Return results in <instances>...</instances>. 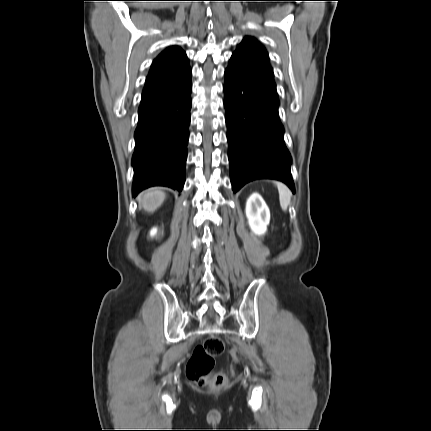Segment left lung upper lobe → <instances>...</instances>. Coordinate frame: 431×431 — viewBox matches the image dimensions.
<instances>
[{
	"instance_id": "5c2ea615",
	"label": "left lung upper lobe",
	"mask_w": 431,
	"mask_h": 431,
	"mask_svg": "<svg viewBox=\"0 0 431 431\" xmlns=\"http://www.w3.org/2000/svg\"><path fill=\"white\" fill-rule=\"evenodd\" d=\"M229 65L273 80V70L269 64L266 50L253 38L246 37L242 40L232 54Z\"/></svg>"
}]
</instances>
